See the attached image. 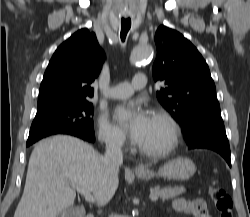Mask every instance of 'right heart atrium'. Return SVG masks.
I'll return each mask as SVG.
<instances>
[{"instance_id":"obj_1","label":"right heart atrium","mask_w":250,"mask_h":217,"mask_svg":"<svg viewBox=\"0 0 250 217\" xmlns=\"http://www.w3.org/2000/svg\"><path fill=\"white\" fill-rule=\"evenodd\" d=\"M98 138L106 147L124 150L127 147V138L124 132L109 121L105 115L98 118Z\"/></svg>"}]
</instances>
